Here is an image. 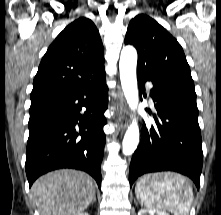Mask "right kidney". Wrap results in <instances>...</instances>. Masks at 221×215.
Segmentation results:
<instances>
[{
  "mask_svg": "<svg viewBox=\"0 0 221 215\" xmlns=\"http://www.w3.org/2000/svg\"><path fill=\"white\" fill-rule=\"evenodd\" d=\"M76 215H89V214L87 212H80V213H78Z\"/></svg>",
  "mask_w": 221,
  "mask_h": 215,
  "instance_id": "obj_1",
  "label": "right kidney"
}]
</instances>
